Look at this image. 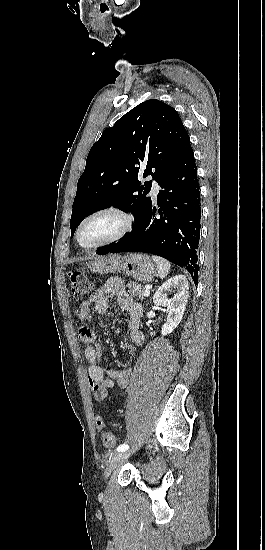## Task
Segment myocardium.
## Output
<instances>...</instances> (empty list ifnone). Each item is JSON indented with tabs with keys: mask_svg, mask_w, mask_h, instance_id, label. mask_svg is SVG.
<instances>
[{
	"mask_svg": "<svg viewBox=\"0 0 265 550\" xmlns=\"http://www.w3.org/2000/svg\"><path fill=\"white\" fill-rule=\"evenodd\" d=\"M104 214L113 215V216H115L116 218L119 219L120 225H119L118 230L113 235H111L109 238H107V239H105L101 242H98V243L90 245V246L81 245L80 240H79V235H80V231L83 228V226L89 220L93 219L94 217H97L99 215H104ZM133 226H134V218L130 213H128V212H126V211H124L120 208L113 207V206L103 207V208H99V209L89 213L87 216H85L80 221V223L78 224V226L75 230L74 239H75V242L77 243V245L79 246V248H81L83 250H86V251L94 250V249H97V248H100V247L111 245V244L119 241L120 239H122L124 236H126L132 230Z\"/></svg>",
	"mask_w": 265,
	"mask_h": 550,
	"instance_id": "myocardium-1",
	"label": "myocardium"
}]
</instances>
